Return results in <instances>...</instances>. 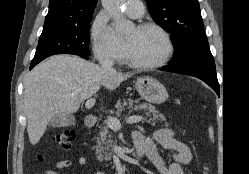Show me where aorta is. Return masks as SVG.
Here are the masks:
<instances>
[{
    "label": "aorta",
    "mask_w": 249,
    "mask_h": 174,
    "mask_svg": "<svg viewBox=\"0 0 249 174\" xmlns=\"http://www.w3.org/2000/svg\"><path fill=\"white\" fill-rule=\"evenodd\" d=\"M126 0H102V5L106 12L112 17L116 29L123 34L133 27L132 22L126 20L122 15L121 8Z\"/></svg>",
    "instance_id": "762f6f07"
}]
</instances>
